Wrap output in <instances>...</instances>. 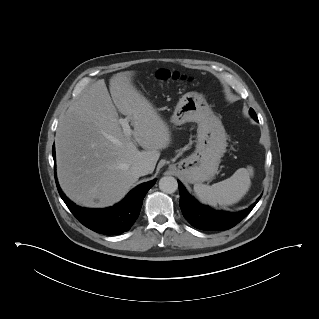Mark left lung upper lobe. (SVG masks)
Returning <instances> with one entry per match:
<instances>
[{"instance_id": "5c2ea615", "label": "left lung upper lobe", "mask_w": 319, "mask_h": 319, "mask_svg": "<svg viewBox=\"0 0 319 319\" xmlns=\"http://www.w3.org/2000/svg\"><path fill=\"white\" fill-rule=\"evenodd\" d=\"M249 112H250L251 116H252L254 119L257 118V116H256V114H255V112H254V110H253L252 108L249 110Z\"/></svg>"}]
</instances>
